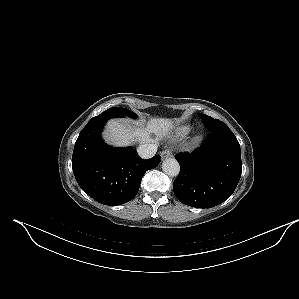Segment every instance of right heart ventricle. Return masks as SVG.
<instances>
[{
    "instance_id": "obj_1",
    "label": "right heart ventricle",
    "mask_w": 299,
    "mask_h": 299,
    "mask_svg": "<svg viewBox=\"0 0 299 299\" xmlns=\"http://www.w3.org/2000/svg\"><path fill=\"white\" fill-rule=\"evenodd\" d=\"M191 131L190 125H183L176 130V136L177 137H184Z\"/></svg>"
}]
</instances>
